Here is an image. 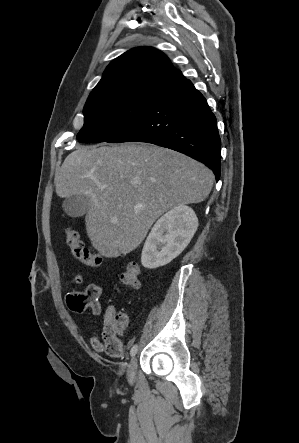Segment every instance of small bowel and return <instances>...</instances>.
<instances>
[{
    "label": "small bowel",
    "mask_w": 299,
    "mask_h": 443,
    "mask_svg": "<svg viewBox=\"0 0 299 443\" xmlns=\"http://www.w3.org/2000/svg\"><path fill=\"white\" fill-rule=\"evenodd\" d=\"M83 282V273H78L73 278V283L81 284ZM103 293V287L100 284L92 283L86 286L84 291L70 292L67 295L66 302L70 310L83 312L91 310L94 315H100L102 312L100 299ZM115 314V309L107 307L104 312V324L101 333L94 332L90 338V345L96 352H105L111 357H122L125 353L123 343L117 334L111 333L107 329V322Z\"/></svg>",
    "instance_id": "small-bowel-1"
}]
</instances>
